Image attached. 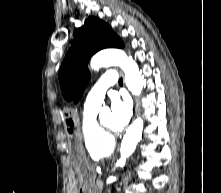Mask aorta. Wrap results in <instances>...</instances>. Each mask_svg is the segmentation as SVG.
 <instances>
[{
    "label": "aorta",
    "mask_w": 221,
    "mask_h": 193,
    "mask_svg": "<svg viewBox=\"0 0 221 193\" xmlns=\"http://www.w3.org/2000/svg\"><path fill=\"white\" fill-rule=\"evenodd\" d=\"M119 66L125 73V83L133 95H140L144 86V77L137 63L120 49H108L97 53L90 61V67L98 70L102 67ZM143 120L137 118L127 129L120 147V159L117 164L124 166L126 159L135 151L141 140ZM114 180H116L114 178Z\"/></svg>",
    "instance_id": "aorta-1"
}]
</instances>
